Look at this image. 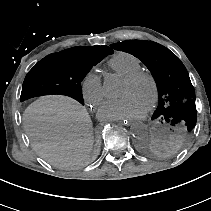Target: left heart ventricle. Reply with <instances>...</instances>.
Wrapping results in <instances>:
<instances>
[{
    "label": "left heart ventricle",
    "instance_id": "b2bd125f",
    "mask_svg": "<svg viewBox=\"0 0 211 211\" xmlns=\"http://www.w3.org/2000/svg\"><path fill=\"white\" fill-rule=\"evenodd\" d=\"M121 95L134 96L146 108L152 98V88L150 83L144 79L136 84L124 81L121 87Z\"/></svg>",
    "mask_w": 211,
    "mask_h": 211
}]
</instances>
